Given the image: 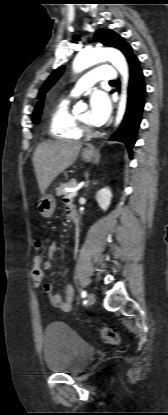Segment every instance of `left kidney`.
<instances>
[{
  "instance_id": "left-kidney-1",
  "label": "left kidney",
  "mask_w": 168,
  "mask_h": 415,
  "mask_svg": "<svg viewBox=\"0 0 168 415\" xmlns=\"http://www.w3.org/2000/svg\"><path fill=\"white\" fill-rule=\"evenodd\" d=\"M112 193L108 187L99 190L96 194V200L100 208L106 211L111 204Z\"/></svg>"
}]
</instances>
